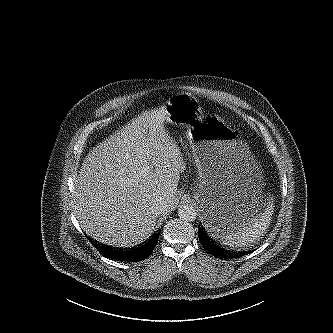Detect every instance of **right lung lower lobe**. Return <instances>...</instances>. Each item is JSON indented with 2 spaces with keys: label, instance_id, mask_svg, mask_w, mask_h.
<instances>
[{
  "label": "right lung lower lobe",
  "instance_id": "right-lung-lower-lobe-1",
  "mask_svg": "<svg viewBox=\"0 0 333 333\" xmlns=\"http://www.w3.org/2000/svg\"><path fill=\"white\" fill-rule=\"evenodd\" d=\"M159 233L153 234L143 245L130 251H119L109 249L100 244L93 243L96 249L106 258H111L118 261L125 262H138L146 259L153 252L156 244L158 243Z\"/></svg>",
  "mask_w": 333,
  "mask_h": 333
}]
</instances>
